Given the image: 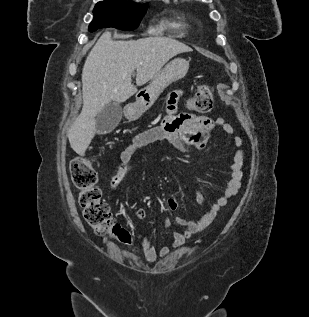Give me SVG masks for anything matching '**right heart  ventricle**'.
<instances>
[{"label": "right heart ventricle", "mask_w": 309, "mask_h": 317, "mask_svg": "<svg viewBox=\"0 0 309 317\" xmlns=\"http://www.w3.org/2000/svg\"><path fill=\"white\" fill-rule=\"evenodd\" d=\"M175 26H176L177 28H182V29H185V28L187 27V25L184 24V23H178V24H176Z\"/></svg>", "instance_id": "right-heart-ventricle-1"}]
</instances>
